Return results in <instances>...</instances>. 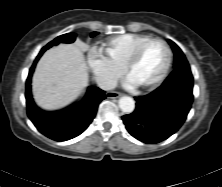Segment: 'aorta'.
<instances>
[{"mask_svg":"<svg viewBox=\"0 0 222 187\" xmlns=\"http://www.w3.org/2000/svg\"><path fill=\"white\" fill-rule=\"evenodd\" d=\"M119 107L123 112L131 113L135 108V101L129 96H123L119 99Z\"/></svg>","mask_w":222,"mask_h":187,"instance_id":"aorta-1","label":"aorta"}]
</instances>
